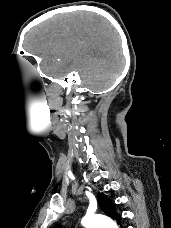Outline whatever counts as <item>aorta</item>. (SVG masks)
Returning a JSON list of instances; mask_svg holds the SVG:
<instances>
[{
	"label": "aorta",
	"instance_id": "aorta-1",
	"mask_svg": "<svg viewBox=\"0 0 171 228\" xmlns=\"http://www.w3.org/2000/svg\"><path fill=\"white\" fill-rule=\"evenodd\" d=\"M81 223L85 228H118L113 220L104 215L88 214Z\"/></svg>",
	"mask_w": 171,
	"mask_h": 228
}]
</instances>
